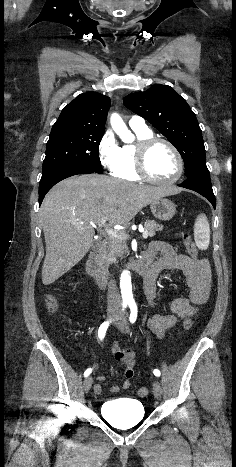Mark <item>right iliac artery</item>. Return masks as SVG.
Wrapping results in <instances>:
<instances>
[{
  "label": "right iliac artery",
  "instance_id": "82829eb1",
  "mask_svg": "<svg viewBox=\"0 0 236 467\" xmlns=\"http://www.w3.org/2000/svg\"><path fill=\"white\" fill-rule=\"evenodd\" d=\"M127 303H123L122 305V311L125 310V308L127 307ZM111 321H105L101 324V326L99 327V330H98V337L100 340H103L104 337H105V334H106V331H107V328L109 326ZM92 372V369L91 368H88L85 372H84V377H87L90 375V373Z\"/></svg>",
  "mask_w": 236,
  "mask_h": 467
}]
</instances>
